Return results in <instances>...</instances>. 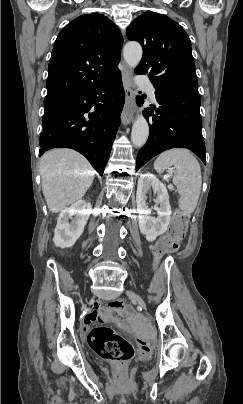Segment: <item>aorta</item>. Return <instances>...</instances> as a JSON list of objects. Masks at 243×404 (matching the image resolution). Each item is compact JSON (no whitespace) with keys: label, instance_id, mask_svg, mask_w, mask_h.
<instances>
[{"label":"aorta","instance_id":"762f6f07","mask_svg":"<svg viewBox=\"0 0 243 404\" xmlns=\"http://www.w3.org/2000/svg\"><path fill=\"white\" fill-rule=\"evenodd\" d=\"M142 48L138 42H127L123 50V58L129 68H136L142 58ZM149 136V126L143 116H137L131 132V142L135 148H142Z\"/></svg>","mask_w":243,"mask_h":404}]
</instances>
